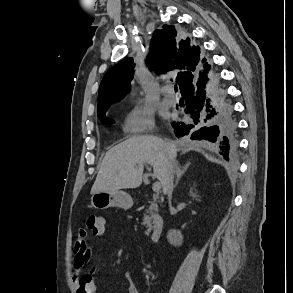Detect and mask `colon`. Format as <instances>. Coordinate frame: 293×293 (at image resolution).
I'll return each mask as SVG.
<instances>
[{
  "label": "colon",
  "mask_w": 293,
  "mask_h": 293,
  "mask_svg": "<svg viewBox=\"0 0 293 293\" xmlns=\"http://www.w3.org/2000/svg\"><path fill=\"white\" fill-rule=\"evenodd\" d=\"M85 227L94 235L102 233L106 226V219L102 215L88 214L84 221Z\"/></svg>",
  "instance_id": "colon-1"
}]
</instances>
